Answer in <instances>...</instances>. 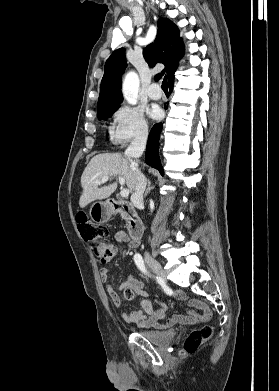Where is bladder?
<instances>
[{
    "label": "bladder",
    "mask_w": 279,
    "mask_h": 391,
    "mask_svg": "<svg viewBox=\"0 0 279 391\" xmlns=\"http://www.w3.org/2000/svg\"><path fill=\"white\" fill-rule=\"evenodd\" d=\"M138 334L154 345L166 346L174 340L177 332L175 330H168V331L143 330V331H139Z\"/></svg>",
    "instance_id": "bladder-1"
}]
</instances>
